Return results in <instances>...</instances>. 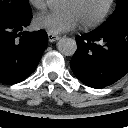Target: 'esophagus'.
I'll use <instances>...</instances> for the list:
<instances>
[{
    "label": "esophagus",
    "instance_id": "34e87169",
    "mask_svg": "<svg viewBox=\"0 0 128 128\" xmlns=\"http://www.w3.org/2000/svg\"><path fill=\"white\" fill-rule=\"evenodd\" d=\"M59 39V37L58 36H56V35H54V34H51V33H48V40H49V42H55V41H57Z\"/></svg>",
    "mask_w": 128,
    "mask_h": 128
}]
</instances>
